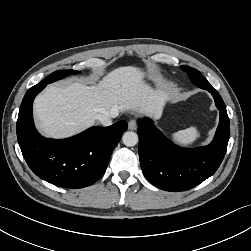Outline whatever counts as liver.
Returning a JSON list of instances; mask_svg holds the SVG:
<instances>
[{
	"label": "liver",
	"mask_w": 251,
	"mask_h": 251,
	"mask_svg": "<svg viewBox=\"0 0 251 251\" xmlns=\"http://www.w3.org/2000/svg\"><path fill=\"white\" fill-rule=\"evenodd\" d=\"M145 76L138 67L124 66L107 73L96 85L77 81L49 85L34 101L37 127L47 137L65 138L94 125L99 114L157 115L170 92L154 89Z\"/></svg>",
	"instance_id": "liver-1"
}]
</instances>
